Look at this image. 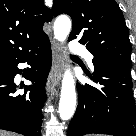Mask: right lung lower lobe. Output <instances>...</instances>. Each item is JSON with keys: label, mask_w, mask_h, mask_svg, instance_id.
<instances>
[{"label": "right lung lower lobe", "mask_w": 136, "mask_h": 136, "mask_svg": "<svg viewBox=\"0 0 136 136\" xmlns=\"http://www.w3.org/2000/svg\"><path fill=\"white\" fill-rule=\"evenodd\" d=\"M19 63L31 67L24 74L32 86L19 93L14 76L22 73ZM52 64L48 37L43 38L18 56L0 62V129L24 136H41L42 107L45 102V83ZM23 88V86H20Z\"/></svg>", "instance_id": "1"}]
</instances>
